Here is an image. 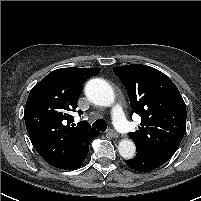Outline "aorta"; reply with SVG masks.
<instances>
[{
	"mask_svg": "<svg viewBox=\"0 0 201 201\" xmlns=\"http://www.w3.org/2000/svg\"><path fill=\"white\" fill-rule=\"evenodd\" d=\"M85 95L89 101L99 106H110L115 100L112 87L100 78H94L87 82ZM118 151L124 159H132L135 156L136 147L132 140L123 139L118 144Z\"/></svg>",
	"mask_w": 201,
	"mask_h": 201,
	"instance_id": "1",
	"label": "aorta"
}]
</instances>
